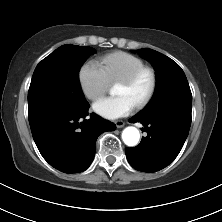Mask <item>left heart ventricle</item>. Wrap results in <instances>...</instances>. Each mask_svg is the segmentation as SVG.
<instances>
[{"mask_svg":"<svg viewBox=\"0 0 222 222\" xmlns=\"http://www.w3.org/2000/svg\"><path fill=\"white\" fill-rule=\"evenodd\" d=\"M149 86L150 78L147 74H145L132 86L118 83L115 87L114 93L116 95H126L136 105L146 95Z\"/></svg>","mask_w":222,"mask_h":222,"instance_id":"1","label":"left heart ventricle"}]
</instances>
